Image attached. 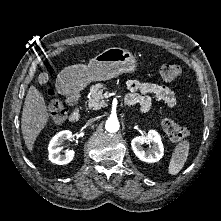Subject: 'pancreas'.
Instances as JSON below:
<instances>
[{
	"mask_svg": "<svg viewBox=\"0 0 221 221\" xmlns=\"http://www.w3.org/2000/svg\"><path fill=\"white\" fill-rule=\"evenodd\" d=\"M106 87L103 84L97 83L91 87V94L88 100V107L93 110H98L107 106L104 100V91Z\"/></svg>",
	"mask_w": 221,
	"mask_h": 221,
	"instance_id": "cf45deb5",
	"label": "pancreas"
}]
</instances>
